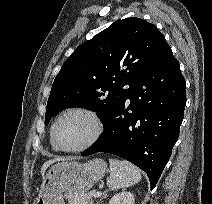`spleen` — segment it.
Instances as JSON below:
<instances>
[{
	"mask_svg": "<svg viewBox=\"0 0 212 204\" xmlns=\"http://www.w3.org/2000/svg\"><path fill=\"white\" fill-rule=\"evenodd\" d=\"M110 176L107 185L112 190L130 187L141 180L140 170L126 160L109 159Z\"/></svg>",
	"mask_w": 212,
	"mask_h": 204,
	"instance_id": "obj_1",
	"label": "spleen"
}]
</instances>
